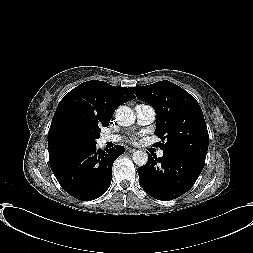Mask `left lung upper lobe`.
<instances>
[{
  "mask_svg": "<svg viewBox=\"0 0 253 253\" xmlns=\"http://www.w3.org/2000/svg\"><path fill=\"white\" fill-rule=\"evenodd\" d=\"M136 97L156 111L155 134L163 152H177L205 161L209 135L198 102L178 85L164 80L151 85L131 87Z\"/></svg>",
  "mask_w": 253,
  "mask_h": 253,
  "instance_id": "left-lung-upper-lobe-1",
  "label": "left lung upper lobe"
}]
</instances>
